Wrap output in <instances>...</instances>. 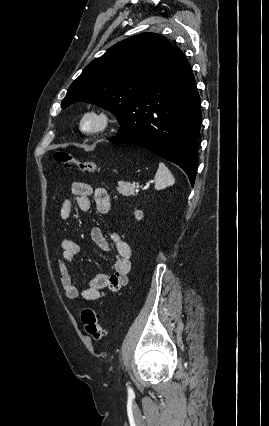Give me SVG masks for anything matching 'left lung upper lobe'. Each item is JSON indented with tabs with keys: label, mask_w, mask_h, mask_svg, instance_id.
<instances>
[{
	"label": "left lung upper lobe",
	"mask_w": 269,
	"mask_h": 426,
	"mask_svg": "<svg viewBox=\"0 0 269 426\" xmlns=\"http://www.w3.org/2000/svg\"><path fill=\"white\" fill-rule=\"evenodd\" d=\"M164 37L142 33L112 46L93 60L70 85L61 106L76 101L95 103L117 116L119 124L134 97L149 88L172 50Z\"/></svg>",
	"instance_id": "5c2ea615"
}]
</instances>
